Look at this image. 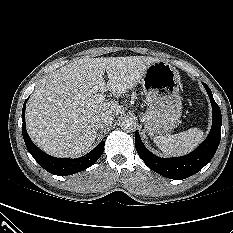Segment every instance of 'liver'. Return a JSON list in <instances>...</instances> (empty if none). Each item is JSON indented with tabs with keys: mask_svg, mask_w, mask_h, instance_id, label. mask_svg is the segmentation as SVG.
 Here are the masks:
<instances>
[{
	"mask_svg": "<svg viewBox=\"0 0 233 233\" xmlns=\"http://www.w3.org/2000/svg\"><path fill=\"white\" fill-rule=\"evenodd\" d=\"M156 61L159 59L145 56L81 58L47 75L27 103L30 137L56 157L86 152L97 137L94 116L124 112L117 101L99 102L97 93L109 90L119 97L141 82L148 66Z\"/></svg>",
	"mask_w": 233,
	"mask_h": 233,
	"instance_id": "1",
	"label": "liver"
}]
</instances>
